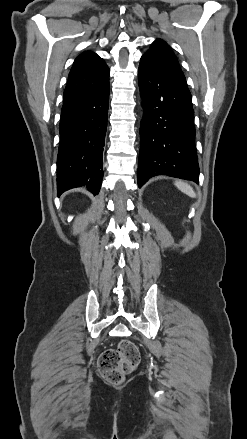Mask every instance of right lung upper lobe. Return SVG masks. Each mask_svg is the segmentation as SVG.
Instances as JSON below:
<instances>
[{
	"instance_id": "1",
	"label": "right lung upper lobe",
	"mask_w": 247,
	"mask_h": 439,
	"mask_svg": "<svg viewBox=\"0 0 247 439\" xmlns=\"http://www.w3.org/2000/svg\"><path fill=\"white\" fill-rule=\"evenodd\" d=\"M110 70L97 54L86 51L74 61L63 98L97 90L109 82Z\"/></svg>"
}]
</instances>
